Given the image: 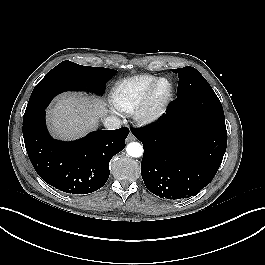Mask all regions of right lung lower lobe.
<instances>
[{"mask_svg":"<svg viewBox=\"0 0 265 265\" xmlns=\"http://www.w3.org/2000/svg\"><path fill=\"white\" fill-rule=\"evenodd\" d=\"M126 127L100 130L86 137L62 142L46 128L45 109L23 120V137L30 161L49 185L70 194H86L107 182L111 158L124 149Z\"/></svg>","mask_w":265,"mask_h":265,"instance_id":"1","label":"right lung lower lobe"}]
</instances>
